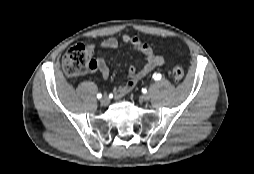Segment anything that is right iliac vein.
Here are the masks:
<instances>
[{"mask_svg":"<svg viewBox=\"0 0 254 174\" xmlns=\"http://www.w3.org/2000/svg\"><path fill=\"white\" fill-rule=\"evenodd\" d=\"M100 102H101L102 105L106 106V105L109 104V98H108L106 95H104V96L101 98Z\"/></svg>","mask_w":254,"mask_h":174,"instance_id":"right-iliac-vein-1","label":"right iliac vein"}]
</instances>
